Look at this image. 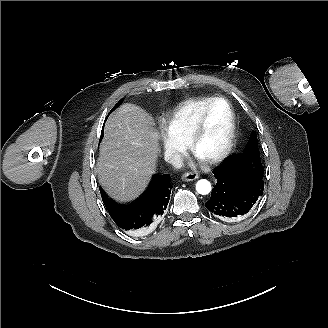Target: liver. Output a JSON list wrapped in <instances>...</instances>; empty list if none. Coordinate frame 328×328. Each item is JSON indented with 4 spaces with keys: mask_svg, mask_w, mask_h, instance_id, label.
Returning a JSON list of instances; mask_svg holds the SVG:
<instances>
[{
    "mask_svg": "<svg viewBox=\"0 0 328 328\" xmlns=\"http://www.w3.org/2000/svg\"><path fill=\"white\" fill-rule=\"evenodd\" d=\"M160 133L151 114L122 104L108 118L95 167L105 192L120 203L138 198L156 172Z\"/></svg>",
    "mask_w": 328,
    "mask_h": 328,
    "instance_id": "obj_1",
    "label": "liver"
}]
</instances>
